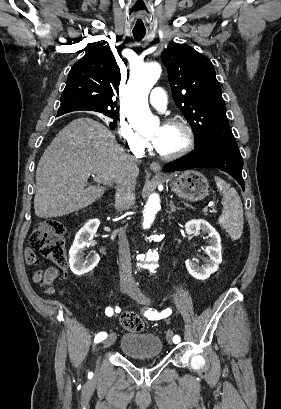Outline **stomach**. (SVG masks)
<instances>
[{"label": "stomach", "instance_id": "stomach-1", "mask_svg": "<svg viewBox=\"0 0 281 409\" xmlns=\"http://www.w3.org/2000/svg\"><path fill=\"white\" fill-rule=\"evenodd\" d=\"M171 190L186 200H202L209 192V182L198 170H184L170 180Z\"/></svg>", "mask_w": 281, "mask_h": 409}]
</instances>
